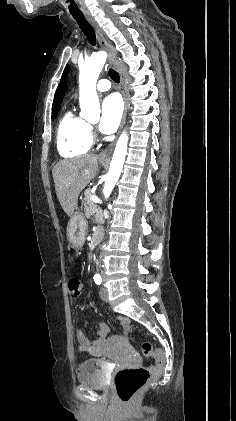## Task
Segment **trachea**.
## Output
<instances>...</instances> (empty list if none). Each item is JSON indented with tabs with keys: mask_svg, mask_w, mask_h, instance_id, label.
<instances>
[{
	"mask_svg": "<svg viewBox=\"0 0 236 421\" xmlns=\"http://www.w3.org/2000/svg\"><path fill=\"white\" fill-rule=\"evenodd\" d=\"M74 19L76 20L77 24L81 28V31L87 37V40L91 43V45H96V35L94 28L90 25V23L86 20L83 15H73ZM109 76L110 78L116 82H120L119 73H117L112 68L109 69Z\"/></svg>",
	"mask_w": 236,
	"mask_h": 421,
	"instance_id": "3493384b",
	"label": "trachea"
}]
</instances>
